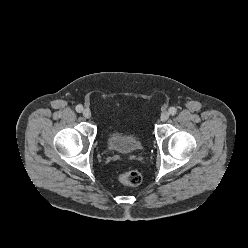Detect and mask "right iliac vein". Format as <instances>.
I'll return each mask as SVG.
<instances>
[{"instance_id":"obj_1","label":"right iliac vein","mask_w":248,"mask_h":248,"mask_svg":"<svg viewBox=\"0 0 248 248\" xmlns=\"http://www.w3.org/2000/svg\"><path fill=\"white\" fill-rule=\"evenodd\" d=\"M83 116L86 118V119H89L91 117V111L89 109H85L83 111Z\"/></svg>"}]
</instances>
